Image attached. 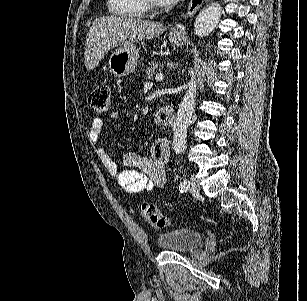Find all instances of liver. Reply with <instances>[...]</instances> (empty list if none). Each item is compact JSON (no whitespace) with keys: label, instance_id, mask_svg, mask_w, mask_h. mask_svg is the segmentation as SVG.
Here are the masks:
<instances>
[{"label":"liver","instance_id":"liver-1","mask_svg":"<svg viewBox=\"0 0 307 301\" xmlns=\"http://www.w3.org/2000/svg\"><path fill=\"white\" fill-rule=\"evenodd\" d=\"M165 28L161 22L136 16H101L98 20H93L87 32L84 64L87 70H92L111 48L155 38L162 34Z\"/></svg>","mask_w":307,"mask_h":301}]
</instances>
